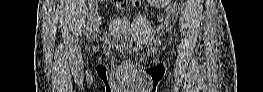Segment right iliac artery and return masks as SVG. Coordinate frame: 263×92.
Here are the masks:
<instances>
[{
	"label": "right iliac artery",
	"instance_id": "obj_1",
	"mask_svg": "<svg viewBox=\"0 0 263 92\" xmlns=\"http://www.w3.org/2000/svg\"><path fill=\"white\" fill-rule=\"evenodd\" d=\"M95 19H100V13H95ZM93 29H96V22H93V24H91L90 34L92 33Z\"/></svg>",
	"mask_w": 263,
	"mask_h": 92
}]
</instances>
